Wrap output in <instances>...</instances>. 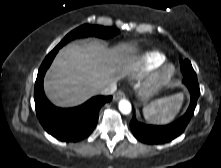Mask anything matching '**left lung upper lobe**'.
I'll list each match as a JSON object with an SVG mask.
<instances>
[{"label": "left lung upper lobe", "mask_w": 221, "mask_h": 168, "mask_svg": "<svg viewBox=\"0 0 221 168\" xmlns=\"http://www.w3.org/2000/svg\"><path fill=\"white\" fill-rule=\"evenodd\" d=\"M180 65H181V71H182L184 77L196 76V73L193 70L192 65L189 60L180 59Z\"/></svg>", "instance_id": "left-lung-upper-lobe-1"}]
</instances>
